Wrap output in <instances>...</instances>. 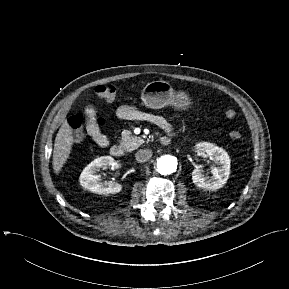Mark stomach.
Instances as JSON below:
<instances>
[{
  "label": "stomach",
  "mask_w": 289,
  "mask_h": 289,
  "mask_svg": "<svg viewBox=\"0 0 289 289\" xmlns=\"http://www.w3.org/2000/svg\"><path fill=\"white\" fill-rule=\"evenodd\" d=\"M141 99L145 106L161 109L172 106L177 110H186L191 105V99L185 92H175L166 81H152L142 90Z\"/></svg>",
  "instance_id": "1"
}]
</instances>
